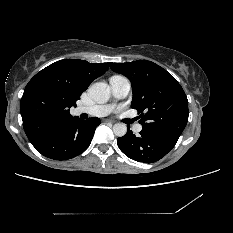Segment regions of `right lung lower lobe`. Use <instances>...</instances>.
Wrapping results in <instances>:
<instances>
[{"label": "right lung lower lobe", "mask_w": 233, "mask_h": 233, "mask_svg": "<svg viewBox=\"0 0 233 233\" xmlns=\"http://www.w3.org/2000/svg\"><path fill=\"white\" fill-rule=\"evenodd\" d=\"M99 124V118L81 120L76 117L32 145L45 157L55 160L71 159L88 148Z\"/></svg>", "instance_id": "98d812e1"}]
</instances>
